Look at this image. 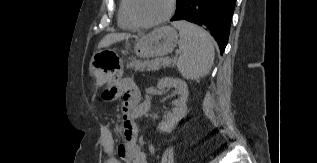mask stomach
I'll list each match as a JSON object with an SVG mask.
<instances>
[{"label":"stomach","instance_id":"1","mask_svg":"<svg viewBox=\"0 0 317 163\" xmlns=\"http://www.w3.org/2000/svg\"><path fill=\"white\" fill-rule=\"evenodd\" d=\"M177 42V31L173 27L162 26L138 39L134 52L141 58L165 56L173 51ZM104 52H96L90 62V75L94 79L96 88L114 82L116 77L121 75L120 67H111L102 60Z\"/></svg>","mask_w":317,"mask_h":163}]
</instances>
